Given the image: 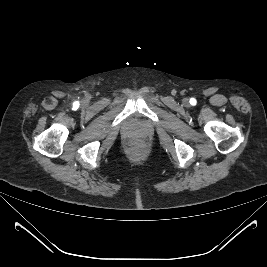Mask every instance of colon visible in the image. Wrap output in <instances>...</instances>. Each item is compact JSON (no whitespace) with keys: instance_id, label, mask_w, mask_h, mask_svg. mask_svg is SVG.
<instances>
[{"instance_id":"5ec220e1","label":"colon","mask_w":267,"mask_h":267,"mask_svg":"<svg viewBox=\"0 0 267 267\" xmlns=\"http://www.w3.org/2000/svg\"><path fill=\"white\" fill-rule=\"evenodd\" d=\"M127 150L135 153H142L145 150V146L140 141H131L126 146Z\"/></svg>"}]
</instances>
